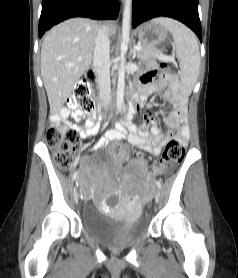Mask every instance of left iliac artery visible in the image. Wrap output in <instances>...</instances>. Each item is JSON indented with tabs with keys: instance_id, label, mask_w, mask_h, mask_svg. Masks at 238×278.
Returning a JSON list of instances; mask_svg holds the SVG:
<instances>
[{
	"instance_id": "1",
	"label": "left iliac artery",
	"mask_w": 238,
	"mask_h": 278,
	"mask_svg": "<svg viewBox=\"0 0 238 278\" xmlns=\"http://www.w3.org/2000/svg\"><path fill=\"white\" fill-rule=\"evenodd\" d=\"M156 184H157V186H158V188L160 189L161 188V183H160V181H156Z\"/></svg>"
}]
</instances>
